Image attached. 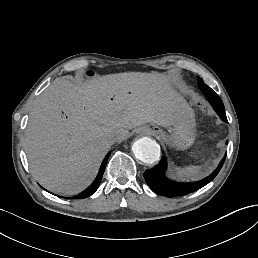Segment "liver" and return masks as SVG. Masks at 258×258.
<instances>
[{"mask_svg":"<svg viewBox=\"0 0 258 258\" xmlns=\"http://www.w3.org/2000/svg\"><path fill=\"white\" fill-rule=\"evenodd\" d=\"M181 95L167 73L123 72L97 75L80 85L57 79L37 99L25 128L31 175L49 191L74 196L98 174L110 149L146 122L172 123Z\"/></svg>","mask_w":258,"mask_h":258,"instance_id":"obj_1","label":"liver"}]
</instances>
